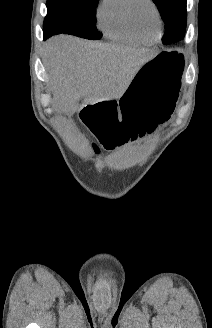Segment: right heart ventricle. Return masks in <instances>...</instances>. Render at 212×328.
<instances>
[{"label":"right heart ventricle","mask_w":212,"mask_h":328,"mask_svg":"<svg viewBox=\"0 0 212 328\" xmlns=\"http://www.w3.org/2000/svg\"><path fill=\"white\" fill-rule=\"evenodd\" d=\"M131 0H102L97 12V24L103 34L118 42L128 44H152L157 35L142 36L130 22Z\"/></svg>","instance_id":"right-heart-ventricle-1"}]
</instances>
